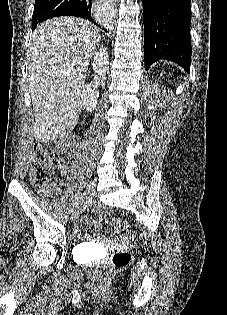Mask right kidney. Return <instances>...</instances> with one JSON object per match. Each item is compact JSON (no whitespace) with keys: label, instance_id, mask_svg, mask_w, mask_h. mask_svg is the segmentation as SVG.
Returning a JSON list of instances; mask_svg holds the SVG:
<instances>
[{"label":"right kidney","instance_id":"1","mask_svg":"<svg viewBox=\"0 0 227 315\" xmlns=\"http://www.w3.org/2000/svg\"><path fill=\"white\" fill-rule=\"evenodd\" d=\"M94 71L99 75H106L109 70V55L106 49H100L96 52L93 63ZM82 105L88 112L96 109L98 94H96L89 85H86L82 91Z\"/></svg>","mask_w":227,"mask_h":315}]
</instances>
